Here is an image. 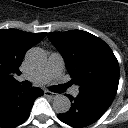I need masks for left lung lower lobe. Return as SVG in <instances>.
Masks as SVG:
<instances>
[{
    "mask_svg": "<svg viewBox=\"0 0 128 128\" xmlns=\"http://www.w3.org/2000/svg\"><path fill=\"white\" fill-rule=\"evenodd\" d=\"M116 93L107 90L79 91L78 97L70 96L71 108L58 118L64 123L80 128L97 121L109 108Z\"/></svg>",
    "mask_w": 128,
    "mask_h": 128,
    "instance_id": "1",
    "label": "left lung lower lobe"
}]
</instances>
